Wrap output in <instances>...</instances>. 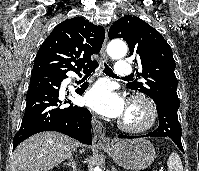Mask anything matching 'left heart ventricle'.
<instances>
[{
	"label": "left heart ventricle",
	"instance_id": "left-heart-ventricle-1",
	"mask_svg": "<svg viewBox=\"0 0 199 171\" xmlns=\"http://www.w3.org/2000/svg\"><path fill=\"white\" fill-rule=\"evenodd\" d=\"M124 116L131 121H136L140 118L141 114L135 108L126 109Z\"/></svg>",
	"mask_w": 199,
	"mask_h": 171
}]
</instances>
